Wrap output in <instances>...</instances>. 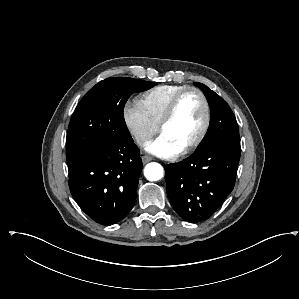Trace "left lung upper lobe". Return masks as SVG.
<instances>
[{
	"instance_id": "obj_1",
	"label": "left lung upper lobe",
	"mask_w": 299,
	"mask_h": 299,
	"mask_svg": "<svg viewBox=\"0 0 299 299\" xmlns=\"http://www.w3.org/2000/svg\"><path fill=\"white\" fill-rule=\"evenodd\" d=\"M194 85L203 91L211 112L208 131L196 150L214 144H229L240 148L237 121L229 105L206 85L197 82Z\"/></svg>"
}]
</instances>
